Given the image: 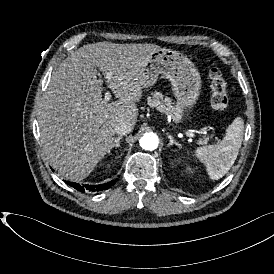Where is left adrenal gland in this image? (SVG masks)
I'll return each mask as SVG.
<instances>
[{"label":"left adrenal gland","mask_w":274,"mask_h":274,"mask_svg":"<svg viewBox=\"0 0 274 274\" xmlns=\"http://www.w3.org/2000/svg\"><path fill=\"white\" fill-rule=\"evenodd\" d=\"M169 144L168 147H171L172 145H175L179 150H181V145L179 143H177L176 141L173 140V138L169 135Z\"/></svg>","instance_id":"1"}]
</instances>
